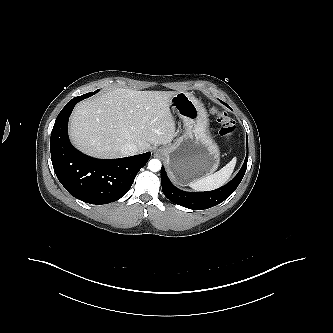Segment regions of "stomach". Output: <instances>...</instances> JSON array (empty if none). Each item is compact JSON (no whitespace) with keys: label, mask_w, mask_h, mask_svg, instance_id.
I'll return each mask as SVG.
<instances>
[{"label":"stomach","mask_w":333,"mask_h":333,"mask_svg":"<svg viewBox=\"0 0 333 333\" xmlns=\"http://www.w3.org/2000/svg\"><path fill=\"white\" fill-rule=\"evenodd\" d=\"M170 109L184 124L183 135L160 150L172 179L184 185L211 175L218 168L220 152L203 104L190 93L178 92L170 100Z\"/></svg>","instance_id":"0dacf381"}]
</instances>
